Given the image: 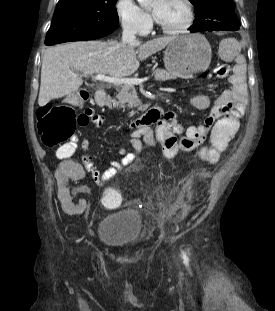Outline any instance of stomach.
Here are the masks:
<instances>
[{
  "label": "stomach",
  "instance_id": "0dacf381",
  "mask_svg": "<svg viewBox=\"0 0 275 311\" xmlns=\"http://www.w3.org/2000/svg\"><path fill=\"white\" fill-rule=\"evenodd\" d=\"M212 58L207 39L198 33L176 37L164 51V65L173 77L190 79L205 72Z\"/></svg>",
  "mask_w": 275,
  "mask_h": 311
}]
</instances>
